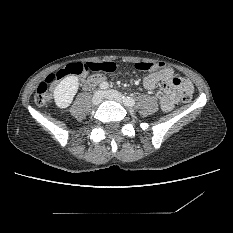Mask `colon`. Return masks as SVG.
<instances>
[{
	"label": "colon",
	"instance_id": "5ec220e1",
	"mask_svg": "<svg viewBox=\"0 0 233 233\" xmlns=\"http://www.w3.org/2000/svg\"><path fill=\"white\" fill-rule=\"evenodd\" d=\"M165 64L162 62H147L140 61L135 64V68L139 71H156L163 69ZM88 68L92 71H96L104 74L112 73L115 70V65L109 63H89L85 66L82 63H71L66 67L55 71L49 74L46 79L41 82L35 91L34 100L38 105H44L50 100V87L61 81L67 75L79 76L83 73V71ZM192 99V95L190 93H184L182 96V102L188 104Z\"/></svg>",
	"mask_w": 233,
	"mask_h": 233
}]
</instances>
